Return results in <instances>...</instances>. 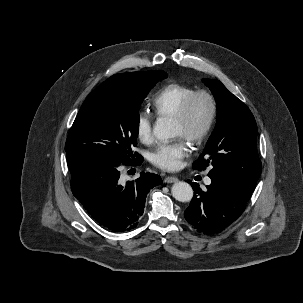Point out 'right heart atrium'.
<instances>
[{
	"mask_svg": "<svg viewBox=\"0 0 303 303\" xmlns=\"http://www.w3.org/2000/svg\"><path fill=\"white\" fill-rule=\"evenodd\" d=\"M135 131L138 139L144 143L149 144L153 140L152 119L146 112H140L137 115L135 122Z\"/></svg>",
	"mask_w": 303,
	"mask_h": 303,
	"instance_id": "obj_1",
	"label": "right heart atrium"
}]
</instances>
